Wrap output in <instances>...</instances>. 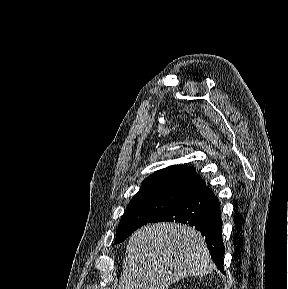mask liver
Returning <instances> with one entry per match:
<instances>
[{
	"label": "liver",
	"instance_id": "obj_1",
	"mask_svg": "<svg viewBox=\"0 0 288 289\" xmlns=\"http://www.w3.org/2000/svg\"><path fill=\"white\" fill-rule=\"evenodd\" d=\"M212 270L200 232L180 223L150 224L129 238L118 289H166L183 277Z\"/></svg>",
	"mask_w": 288,
	"mask_h": 289
}]
</instances>
